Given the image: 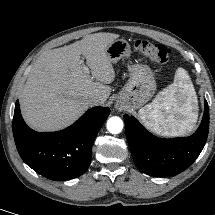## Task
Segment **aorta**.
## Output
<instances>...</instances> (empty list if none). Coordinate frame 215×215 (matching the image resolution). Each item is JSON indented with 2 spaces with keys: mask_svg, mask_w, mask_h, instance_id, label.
Here are the masks:
<instances>
[{
  "mask_svg": "<svg viewBox=\"0 0 215 215\" xmlns=\"http://www.w3.org/2000/svg\"><path fill=\"white\" fill-rule=\"evenodd\" d=\"M107 129L111 134H118L123 129V121L119 117H111L107 121Z\"/></svg>",
  "mask_w": 215,
  "mask_h": 215,
  "instance_id": "1",
  "label": "aorta"
}]
</instances>
